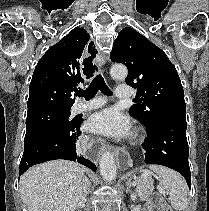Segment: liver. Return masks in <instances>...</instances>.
Wrapping results in <instances>:
<instances>
[{
    "mask_svg": "<svg viewBox=\"0 0 209 211\" xmlns=\"http://www.w3.org/2000/svg\"><path fill=\"white\" fill-rule=\"evenodd\" d=\"M75 162L52 160L33 166L20 179V193L28 211H74L86 180Z\"/></svg>",
    "mask_w": 209,
    "mask_h": 211,
    "instance_id": "6515ba94",
    "label": "liver"
}]
</instances>
